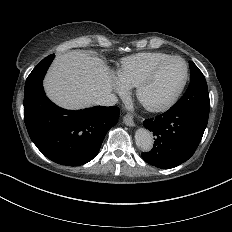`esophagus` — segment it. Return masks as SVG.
<instances>
[{"label": "esophagus", "instance_id": "34e87169", "mask_svg": "<svg viewBox=\"0 0 232 232\" xmlns=\"http://www.w3.org/2000/svg\"><path fill=\"white\" fill-rule=\"evenodd\" d=\"M123 121L124 123L127 125V126H131V127H134L135 126V123H134V120H133V116L131 114H127L123 117Z\"/></svg>", "mask_w": 232, "mask_h": 232}]
</instances>
